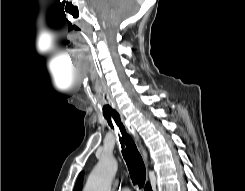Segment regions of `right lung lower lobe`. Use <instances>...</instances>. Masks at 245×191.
<instances>
[{
  "mask_svg": "<svg viewBox=\"0 0 245 191\" xmlns=\"http://www.w3.org/2000/svg\"><path fill=\"white\" fill-rule=\"evenodd\" d=\"M145 191H152L151 186H150L149 183L146 184Z\"/></svg>",
  "mask_w": 245,
  "mask_h": 191,
  "instance_id": "98d812e1",
  "label": "right lung lower lobe"
}]
</instances>
